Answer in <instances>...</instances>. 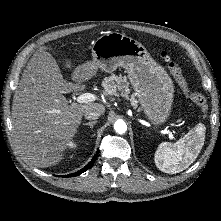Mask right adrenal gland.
<instances>
[{
  "instance_id": "2a0ac1e0",
  "label": "right adrenal gland",
  "mask_w": 221,
  "mask_h": 221,
  "mask_svg": "<svg viewBox=\"0 0 221 221\" xmlns=\"http://www.w3.org/2000/svg\"><path fill=\"white\" fill-rule=\"evenodd\" d=\"M97 121H92V122H85L83 125L89 126L91 129H93V126L96 124Z\"/></svg>"
}]
</instances>
